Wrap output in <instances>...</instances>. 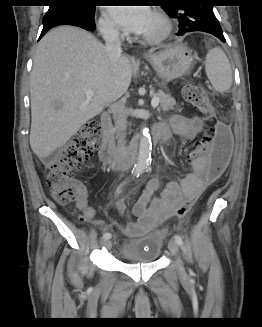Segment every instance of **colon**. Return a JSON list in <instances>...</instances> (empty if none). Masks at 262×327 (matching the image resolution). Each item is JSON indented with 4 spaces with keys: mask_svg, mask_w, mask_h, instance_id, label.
I'll use <instances>...</instances> for the list:
<instances>
[{
    "mask_svg": "<svg viewBox=\"0 0 262 327\" xmlns=\"http://www.w3.org/2000/svg\"><path fill=\"white\" fill-rule=\"evenodd\" d=\"M185 100L207 119L215 117L214 109L205 89L197 84L187 83L183 88ZM102 140L101 124L90 120L65 145L49 166L47 186L53 199L61 204L75 201L81 186L74 179L75 172L84 164L90 153L100 147ZM232 148V134L224 123H216L195 143L190 154L204 156L207 160V175L210 181L217 180L226 170ZM193 201H185L177 207L173 215L184 217L193 205ZM120 213L124 207L119 206Z\"/></svg>",
    "mask_w": 262,
    "mask_h": 327,
    "instance_id": "5ec220e1",
    "label": "colon"
}]
</instances>
